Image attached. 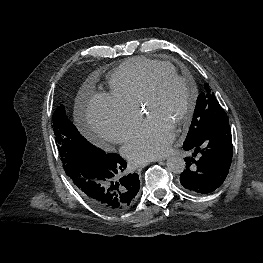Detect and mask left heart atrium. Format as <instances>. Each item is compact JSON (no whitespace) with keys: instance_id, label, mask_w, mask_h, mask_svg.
Returning a JSON list of instances; mask_svg holds the SVG:
<instances>
[{"instance_id":"1","label":"left heart atrium","mask_w":263,"mask_h":263,"mask_svg":"<svg viewBox=\"0 0 263 263\" xmlns=\"http://www.w3.org/2000/svg\"><path fill=\"white\" fill-rule=\"evenodd\" d=\"M174 137V130L169 124L150 117L131 134L122 152L133 163L143 164L164 156Z\"/></svg>"}]
</instances>
